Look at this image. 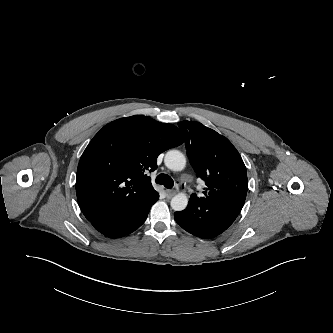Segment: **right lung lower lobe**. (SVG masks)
Masks as SVG:
<instances>
[{
	"label": "right lung lower lobe",
	"mask_w": 333,
	"mask_h": 333,
	"mask_svg": "<svg viewBox=\"0 0 333 333\" xmlns=\"http://www.w3.org/2000/svg\"><path fill=\"white\" fill-rule=\"evenodd\" d=\"M155 202L132 213L119 216L96 217L89 219V221L96 230L107 237H123L135 231L145 222L150 208Z\"/></svg>",
	"instance_id": "obj_1"
}]
</instances>
